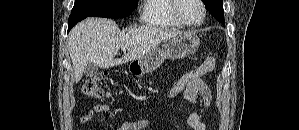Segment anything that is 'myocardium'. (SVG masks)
I'll return each instance as SVG.
<instances>
[{
	"label": "myocardium",
	"instance_id": "obj_1",
	"mask_svg": "<svg viewBox=\"0 0 299 130\" xmlns=\"http://www.w3.org/2000/svg\"><path fill=\"white\" fill-rule=\"evenodd\" d=\"M179 1L180 0H172V4H171V8H172V13L174 18L183 26L188 27V28H196L201 26L205 19H206V15H207V9H206V5L204 3L203 0H197L202 8V17L201 19L196 22V23H190L187 22L179 13Z\"/></svg>",
	"mask_w": 299,
	"mask_h": 130
}]
</instances>
